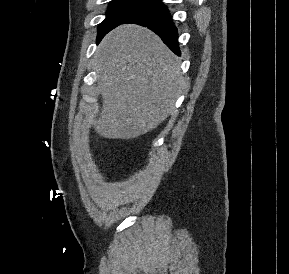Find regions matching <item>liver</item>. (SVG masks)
Wrapping results in <instances>:
<instances>
[{
    "instance_id": "1",
    "label": "liver",
    "mask_w": 289,
    "mask_h": 274,
    "mask_svg": "<svg viewBox=\"0 0 289 274\" xmlns=\"http://www.w3.org/2000/svg\"><path fill=\"white\" fill-rule=\"evenodd\" d=\"M96 55L102 110L94 128L100 136L134 139L174 111L184 84L179 60L152 31L121 25Z\"/></svg>"
}]
</instances>
